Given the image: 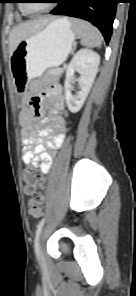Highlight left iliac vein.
Segmentation results:
<instances>
[{"label":"left iliac vein","mask_w":136,"mask_h":296,"mask_svg":"<svg viewBox=\"0 0 136 296\" xmlns=\"http://www.w3.org/2000/svg\"><path fill=\"white\" fill-rule=\"evenodd\" d=\"M38 258H39L41 266L44 267L45 264H44V258H43V253H42L41 246H40L39 251H38Z\"/></svg>","instance_id":"obj_1"}]
</instances>
